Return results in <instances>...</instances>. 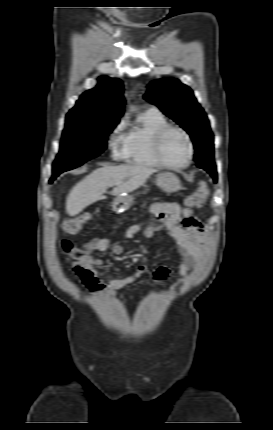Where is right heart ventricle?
Listing matches in <instances>:
<instances>
[{
  "instance_id": "1",
  "label": "right heart ventricle",
  "mask_w": 273,
  "mask_h": 430,
  "mask_svg": "<svg viewBox=\"0 0 273 430\" xmlns=\"http://www.w3.org/2000/svg\"><path fill=\"white\" fill-rule=\"evenodd\" d=\"M167 124V119L159 110L149 109L140 113L124 135V160L138 167H159L153 153V139L156 132Z\"/></svg>"
}]
</instances>
